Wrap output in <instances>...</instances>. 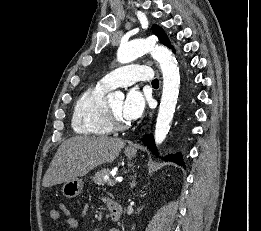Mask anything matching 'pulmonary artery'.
Returning a JSON list of instances; mask_svg holds the SVG:
<instances>
[{
  "label": "pulmonary artery",
  "mask_w": 261,
  "mask_h": 231,
  "mask_svg": "<svg viewBox=\"0 0 261 231\" xmlns=\"http://www.w3.org/2000/svg\"><path fill=\"white\" fill-rule=\"evenodd\" d=\"M152 69L143 65L119 67L107 73L99 83L109 89L129 85L138 81H150Z\"/></svg>",
  "instance_id": "1"
}]
</instances>
